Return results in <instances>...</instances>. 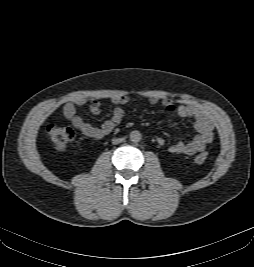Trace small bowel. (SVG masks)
I'll return each instance as SVG.
<instances>
[{
	"label": "small bowel",
	"mask_w": 254,
	"mask_h": 267,
	"mask_svg": "<svg viewBox=\"0 0 254 267\" xmlns=\"http://www.w3.org/2000/svg\"><path fill=\"white\" fill-rule=\"evenodd\" d=\"M116 105L112 111V115L100 126H93L87 123L77 113V108L84 104V100L76 99L68 102L63 107V114L65 118L81 133L89 138L102 139L110 134L122 121L124 110L122 106L128 103L127 96H117L112 99ZM150 104L161 103L165 110L169 113H176L183 118H191L193 120L194 128L197 134L187 142H176L169 146V151L173 154H182L191 156L197 152L203 151L206 146L213 140V124L210 118L205 114L200 107L194 104L176 105L172 100L157 97L149 98ZM90 111L94 115L101 112V103L98 100H93L90 104ZM160 145L164 144L162 138H158Z\"/></svg>",
	"instance_id": "1"
}]
</instances>
